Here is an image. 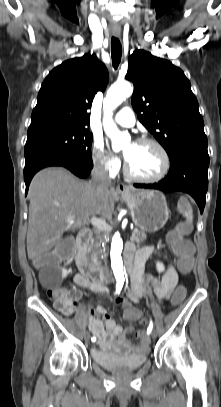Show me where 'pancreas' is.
I'll return each mask as SVG.
<instances>
[{
    "label": "pancreas",
    "mask_w": 221,
    "mask_h": 407,
    "mask_svg": "<svg viewBox=\"0 0 221 407\" xmlns=\"http://www.w3.org/2000/svg\"><path fill=\"white\" fill-rule=\"evenodd\" d=\"M147 238V235L145 232L143 231H133L132 236H131V241L135 242L137 244L142 243L143 241H145ZM92 248V244L89 245V249Z\"/></svg>",
    "instance_id": "obj_1"
}]
</instances>
